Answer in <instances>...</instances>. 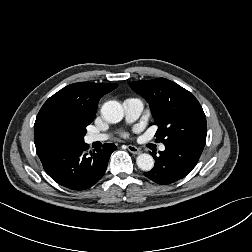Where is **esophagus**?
I'll return each mask as SVG.
<instances>
[{
	"instance_id": "esophagus-1",
	"label": "esophagus",
	"mask_w": 252,
	"mask_h": 252,
	"mask_svg": "<svg viewBox=\"0 0 252 252\" xmlns=\"http://www.w3.org/2000/svg\"><path fill=\"white\" fill-rule=\"evenodd\" d=\"M127 149L133 154H141V150L134 145H127Z\"/></svg>"
}]
</instances>
